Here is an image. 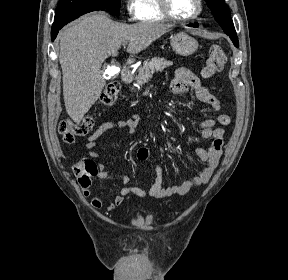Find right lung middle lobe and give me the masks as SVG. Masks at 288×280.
Returning a JSON list of instances; mask_svg holds the SVG:
<instances>
[{"label": "right lung middle lobe", "instance_id": "right-lung-middle-lobe-1", "mask_svg": "<svg viewBox=\"0 0 288 280\" xmlns=\"http://www.w3.org/2000/svg\"><path fill=\"white\" fill-rule=\"evenodd\" d=\"M121 0H59L55 11V17L76 8L85 6H99L118 16Z\"/></svg>", "mask_w": 288, "mask_h": 280}]
</instances>
